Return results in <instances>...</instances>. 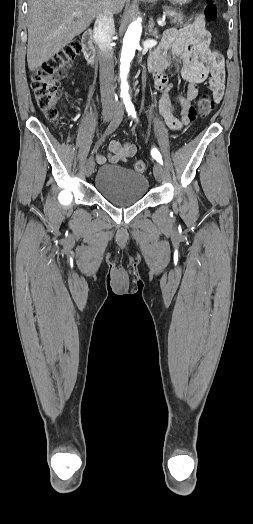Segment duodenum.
<instances>
[{"mask_svg": "<svg viewBox=\"0 0 253 524\" xmlns=\"http://www.w3.org/2000/svg\"><path fill=\"white\" fill-rule=\"evenodd\" d=\"M83 52L87 62L95 66L96 65V50L92 41V31L86 30L82 35ZM149 71H153L151 66H148Z\"/></svg>", "mask_w": 253, "mask_h": 524, "instance_id": "1", "label": "duodenum"}]
</instances>
